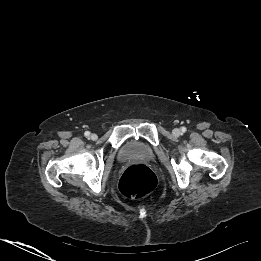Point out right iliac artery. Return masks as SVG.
<instances>
[{
    "instance_id": "obj_1",
    "label": "right iliac artery",
    "mask_w": 261,
    "mask_h": 261,
    "mask_svg": "<svg viewBox=\"0 0 261 261\" xmlns=\"http://www.w3.org/2000/svg\"><path fill=\"white\" fill-rule=\"evenodd\" d=\"M84 135H85L86 137H89V136H90V132H89V131H86V132L84 133Z\"/></svg>"
}]
</instances>
